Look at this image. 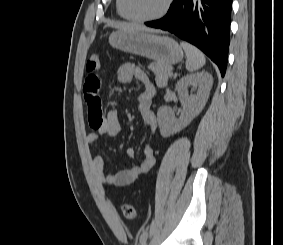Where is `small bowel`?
<instances>
[{
	"label": "small bowel",
	"instance_id": "1",
	"mask_svg": "<svg viewBox=\"0 0 283 245\" xmlns=\"http://www.w3.org/2000/svg\"><path fill=\"white\" fill-rule=\"evenodd\" d=\"M133 79L139 81L144 90L139 94L138 109L143 123L154 134L157 128L155 114L151 110V103L155 96V88L149 80L147 74L132 63H123L117 69V80L119 83H130ZM101 79L98 75L90 73L83 85L84 99L87 106L88 120L93 129L87 135L89 143H95L101 136L116 137L121 132L118 111L110 109L104 115L100 99ZM127 154L134 158L133 148L128 149ZM155 164L154 148L152 144L143 147V157L137 164L130 168L116 172L106 173L104 170V160L97 155L93 158L92 169L96 180L102 185L109 187H123L133 183L139 176L146 174Z\"/></svg>",
	"mask_w": 283,
	"mask_h": 245
}]
</instances>
